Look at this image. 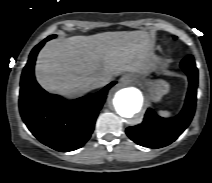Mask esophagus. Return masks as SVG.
<instances>
[{
  "label": "esophagus",
  "instance_id": "1",
  "mask_svg": "<svg viewBox=\"0 0 212 183\" xmlns=\"http://www.w3.org/2000/svg\"><path fill=\"white\" fill-rule=\"evenodd\" d=\"M133 81L131 76L125 75L120 79V83L123 85L130 84Z\"/></svg>",
  "mask_w": 212,
  "mask_h": 183
}]
</instances>
